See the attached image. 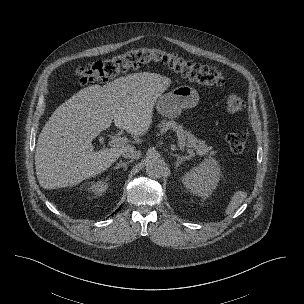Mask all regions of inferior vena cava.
Segmentation results:
<instances>
[{
	"label": "inferior vena cava",
	"instance_id": "1",
	"mask_svg": "<svg viewBox=\"0 0 304 304\" xmlns=\"http://www.w3.org/2000/svg\"><path fill=\"white\" fill-rule=\"evenodd\" d=\"M122 156L125 158H131L137 160L141 157V151L136 149H129L122 153Z\"/></svg>",
	"mask_w": 304,
	"mask_h": 304
}]
</instances>
